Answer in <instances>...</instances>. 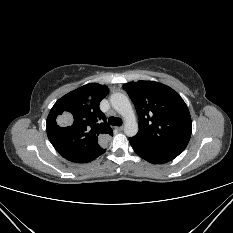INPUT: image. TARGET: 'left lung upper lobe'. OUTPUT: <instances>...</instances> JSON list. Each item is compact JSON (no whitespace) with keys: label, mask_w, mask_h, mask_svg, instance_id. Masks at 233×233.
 <instances>
[{"label":"left lung upper lobe","mask_w":233,"mask_h":233,"mask_svg":"<svg viewBox=\"0 0 233 233\" xmlns=\"http://www.w3.org/2000/svg\"><path fill=\"white\" fill-rule=\"evenodd\" d=\"M139 117L133 141L154 151L178 156L186 148L192 129L187 105L170 87L155 81L123 85Z\"/></svg>","instance_id":"1"}]
</instances>
